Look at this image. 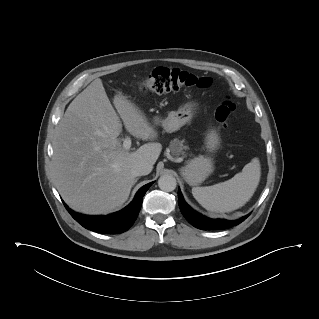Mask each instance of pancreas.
<instances>
[{
	"label": "pancreas",
	"instance_id": "obj_1",
	"mask_svg": "<svg viewBox=\"0 0 319 319\" xmlns=\"http://www.w3.org/2000/svg\"><path fill=\"white\" fill-rule=\"evenodd\" d=\"M183 143H184L183 140H179L177 138L173 139L170 142L169 148L171 150L172 155L175 156L176 158H178L179 156H181L182 158L187 157V154L185 151L188 150L189 147L184 145Z\"/></svg>",
	"mask_w": 319,
	"mask_h": 319
}]
</instances>
